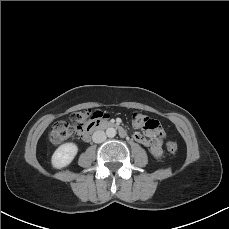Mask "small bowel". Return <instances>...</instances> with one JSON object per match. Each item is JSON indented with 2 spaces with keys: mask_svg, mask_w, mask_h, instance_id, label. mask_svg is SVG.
<instances>
[{
  "mask_svg": "<svg viewBox=\"0 0 229 229\" xmlns=\"http://www.w3.org/2000/svg\"><path fill=\"white\" fill-rule=\"evenodd\" d=\"M133 137L137 142L149 148L150 153L155 158H159L162 155L161 130L157 132L145 130V135L137 132ZM148 137L152 139L150 140Z\"/></svg>",
  "mask_w": 229,
  "mask_h": 229,
  "instance_id": "small-bowel-1",
  "label": "small bowel"
}]
</instances>
